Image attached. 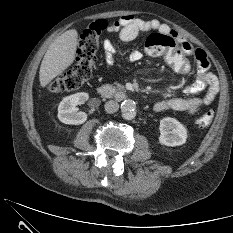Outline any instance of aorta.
Masks as SVG:
<instances>
[{"instance_id":"1","label":"aorta","mask_w":233,"mask_h":233,"mask_svg":"<svg viewBox=\"0 0 233 233\" xmlns=\"http://www.w3.org/2000/svg\"><path fill=\"white\" fill-rule=\"evenodd\" d=\"M122 117L126 120H132L136 116V103L131 99H126L121 103Z\"/></svg>"}]
</instances>
